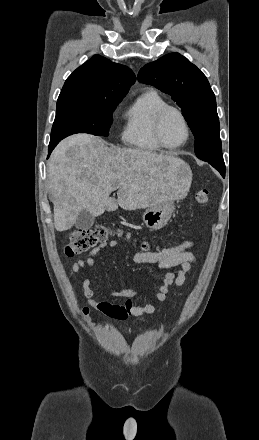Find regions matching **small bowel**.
<instances>
[{"mask_svg": "<svg viewBox=\"0 0 259 440\" xmlns=\"http://www.w3.org/2000/svg\"><path fill=\"white\" fill-rule=\"evenodd\" d=\"M118 242L112 240L103 243L93 249L91 254L83 259L73 262L70 270L74 273H81L85 269H90L95 264V256L105 247H116ZM194 243L188 239L180 244L172 247L162 248L157 251H142L134 255V261L138 264L154 265L160 271H166L162 284L155 293L158 303L166 300L169 287L175 285L182 287L192 273V267L195 263V255L191 251ZM178 267L175 272L174 268ZM83 294L88 301V305L101 312L102 314L117 320H125L130 316L142 319L145 314H153L157 307L153 304L137 306L132 302L133 298L148 295L146 292H140L134 288L117 289L111 293L114 297L126 298V302L122 305L113 304L106 301H96L94 299V291L91 289V281L88 276L82 281ZM89 307H84L82 313L86 316L89 314Z\"/></svg>", "mask_w": 259, "mask_h": 440, "instance_id": "small-bowel-1", "label": "small bowel"}]
</instances>
